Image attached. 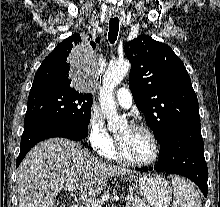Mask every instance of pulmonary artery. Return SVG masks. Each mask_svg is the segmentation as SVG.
Here are the masks:
<instances>
[{
    "label": "pulmonary artery",
    "instance_id": "obj_1",
    "mask_svg": "<svg viewBox=\"0 0 220 207\" xmlns=\"http://www.w3.org/2000/svg\"><path fill=\"white\" fill-rule=\"evenodd\" d=\"M116 99L120 106L129 108L132 105L133 99L130 90L127 87H121L116 92Z\"/></svg>",
    "mask_w": 220,
    "mask_h": 207
}]
</instances>
